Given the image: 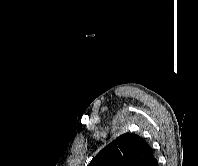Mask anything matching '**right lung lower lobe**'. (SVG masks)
Segmentation results:
<instances>
[{"label": "right lung lower lobe", "mask_w": 198, "mask_h": 166, "mask_svg": "<svg viewBox=\"0 0 198 166\" xmlns=\"http://www.w3.org/2000/svg\"><path fill=\"white\" fill-rule=\"evenodd\" d=\"M150 166H158V161L155 159L151 164Z\"/></svg>", "instance_id": "right-lung-lower-lobe-1"}]
</instances>
